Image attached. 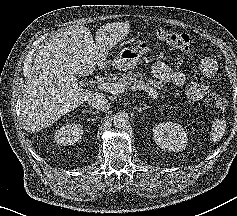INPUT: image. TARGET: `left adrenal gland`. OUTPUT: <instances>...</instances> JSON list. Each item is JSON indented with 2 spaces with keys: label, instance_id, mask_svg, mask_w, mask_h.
I'll list each match as a JSON object with an SVG mask.
<instances>
[{
  "label": "left adrenal gland",
  "instance_id": "1",
  "mask_svg": "<svg viewBox=\"0 0 237 216\" xmlns=\"http://www.w3.org/2000/svg\"><path fill=\"white\" fill-rule=\"evenodd\" d=\"M147 107H143V108H138V107H136L135 109L140 113L141 111H143L144 109H146Z\"/></svg>",
  "mask_w": 237,
  "mask_h": 216
}]
</instances>
